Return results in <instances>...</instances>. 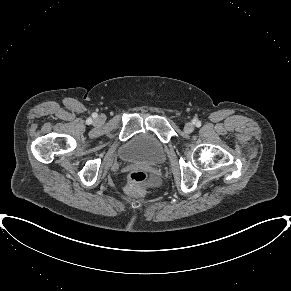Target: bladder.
<instances>
[{"label": "bladder", "mask_w": 291, "mask_h": 291, "mask_svg": "<svg viewBox=\"0 0 291 291\" xmlns=\"http://www.w3.org/2000/svg\"><path fill=\"white\" fill-rule=\"evenodd\" d=\"M165 145L160 139L144 132L129 139L120 150V157L127 162L156 165L165 159Z\"/></svg>", "instance_id": "bladder-1"}]
</instances>
